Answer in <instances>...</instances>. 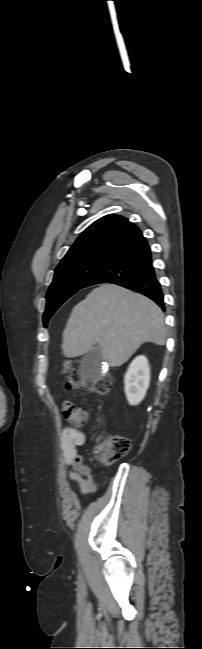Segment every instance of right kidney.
I'll list each match as a JSON object with an SVG mask.
<instances>
[{"label": "right kidney", "instance_id": "ca27d5eb", "mask_svg": "<svg viewBox=\"0 0 202 649\" xmlns=\"http://www.w3.org/2000/svg\"><path fill=\"white\" fill-rule=\"evenodd\" d=\"M150 383V368L145 356L136 357L125 377V394L130 405L139 404L145 397Z\"/></svg>", "mask_w": 202, "mask_h": 649}]
</instances>
